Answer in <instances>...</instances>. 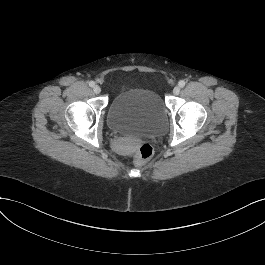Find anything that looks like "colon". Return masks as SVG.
<instances>
[{"label":"colon","instance_id":"5ec220e1","mask_svg":"<svg viewBox=\"0 0 265 265\" xmlns=\"http://www.w3.org/2000/svg\"><path fill=\"white\" fill-rule=\"evenodd\" d=\"M153 154V148L151 145L144 143L141 144L135 153V163L136 165H142L145 163Z\"/></svg>","mask_w":265,"mask_h":265}]
</instances>
